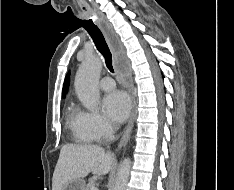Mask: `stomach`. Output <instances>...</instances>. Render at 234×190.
<instances>
[{
    "instance_id": "obj_1",
    "label": "stomach",
    "mask_w": 234,
    "mask_h": 190,
    "mask_svg": "<svg viewBox=\"0 0 234 190\" xmlns=\"http://www.w3.org/2000/svg\"><path fill=\"white\" fill-rule=\"evenodd\" d=\"M62 190H85V181L82 178H74L69 180Z\"/></svg>"
}]
</instances>
